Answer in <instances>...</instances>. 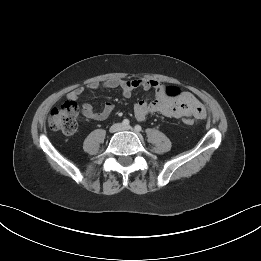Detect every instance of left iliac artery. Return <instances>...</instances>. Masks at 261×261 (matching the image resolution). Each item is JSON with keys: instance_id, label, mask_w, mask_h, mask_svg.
I'll return each mask as SVG.
<instances>
[{"instance_id": "44dca946", "label": "left iliac artery", "mask_w": 261, "mask_h": 261, "mask_svg": "<svg viewBox=\"0 0 261 261\" xmlns=\"http://www.w3.org/2000/svg\"><path fill=\"white\" fill-rule=\"evenodd\" d=\"M134 129H135L136 132H140V131L142 130V128H141L140 125H136V126L134 127Z\"/></svg>"}]
</instances>
